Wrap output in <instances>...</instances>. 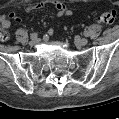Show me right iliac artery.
Here are the masks:
<instances>
[{
  "instance_id": "obj_1",
  "label": "right iliac artery",
  "mask_w": 119,
  "mask_h": 119,
  "mask_svg": "<svg viewBox=\"0 0 119 119\" xmlns=\"http://www.w3.org/2000/svg\"><path fill=\"white\" fill-rule=\"evenodd\" d=\"M30 38H31V39L37 38V33H32V34L30 35Z\"/></svg>"
}]
</instances>
